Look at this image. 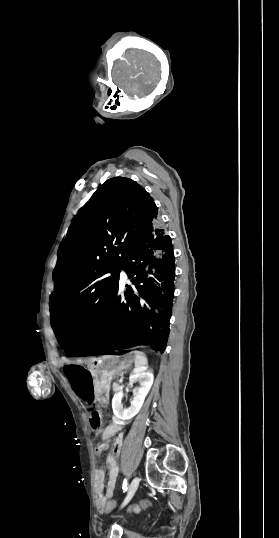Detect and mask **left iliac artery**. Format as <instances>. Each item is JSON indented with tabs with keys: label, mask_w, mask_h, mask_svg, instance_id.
<instances>
[{
	"label": "left iliac artery",
	"mask_w": 279,
	"mask_h": 538,
	"mask_svg": "<svg viewBox=\"0 0 279 538\" xmlns=\"http://www.w3.org/2000/svg\"><path fill=\"white\" fill-rule=\"evenodd\" d=\"M127 486H128L127 479H124V481H123V490H124V492L127 490Z\"/></svg>",
	"instance_id": "obj_1"
}]
</instances>
